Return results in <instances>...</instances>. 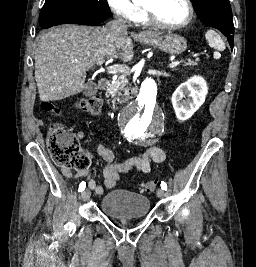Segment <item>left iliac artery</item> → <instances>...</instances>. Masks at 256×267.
I'll return each mask as SVG.
<instances>
[{"label":"left iliac artery","mask_w":256,"mask_h":267,"mask_svg":"<svg viewBox=\"0 0 256 267\" xmlns=\"http://www.w3.org/2000/svg\"><path fill=\"white\" fill-rule=\"evenodd\" d=\"M161 189L167 190V184L164 181L161 182Z\"/></svg>","instance_id":"left-iliac-artery-1"}]
</instances>
